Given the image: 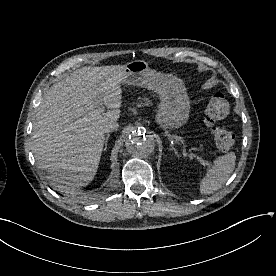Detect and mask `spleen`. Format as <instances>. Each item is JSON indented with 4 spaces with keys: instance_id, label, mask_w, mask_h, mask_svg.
<instances>
[{
    "instance_id": "3e777b00",
    "label": "spleen",
    "mask_w": 276,
    "mask_h": 276,
    "mask_svg": "<svg viewBox=\"0 0 276 276\" xmlns=\"http://www.w3.org/2000/svg\"><path fill=\"white\" fill-rule=\"evenodd\" d=\"M235 160L234 152L217 157L200 182V193L211 194L220 189L234 171Z\"/></svg>"
}]
</instances>
